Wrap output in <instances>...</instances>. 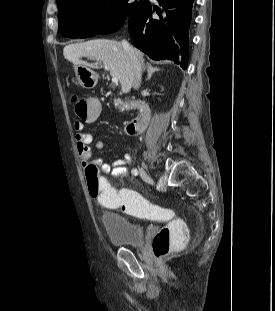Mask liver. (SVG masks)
<instances>
[{
	"label": "liver",
	"mask_w": 275,
	"mask_h": 311,
	"mask_svg": "<svg viewBox=\"0 0 275 311\" xmlns=\"http://www.w3.org/2000/svg\"><path fill=\"white\" fill-rule=\"evenodd\" d=\"M133 50L139 57L143 58V54L139 50ZM63 55L65 59L75 66L93 67L83 61V57L103 62L110 71L111 76L119 79L123 93H128L134 84V68L128 53L120 42L96 39L84 43L70 44L64 47Z\"/></svg>",
	"instance_id": "obj_1"
}]
</instances>
